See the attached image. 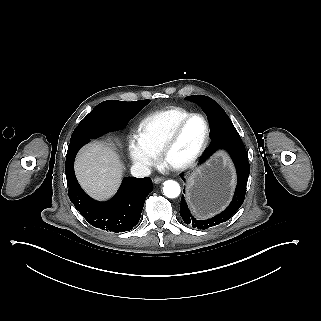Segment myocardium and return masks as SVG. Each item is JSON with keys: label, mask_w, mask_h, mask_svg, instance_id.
I'll return each instance as SVG.
<instances>
[{"label": "myocardium", "mask_w": 321, "mask_h": 321, "mask_svg": "<svg viewBox=\"0 0 321 321\" xmlns=\"http://www.w3.org/2000/svg\"><path fill=\"white\" fill-rule=\"evenodd\" d=\"M195 117H199L203 120L204 122V126H205V135L203 138V141L201 143V145L199 146L198 150L196 151V153L186 162L181 163V164H177V165H171L172 168H174L175 170L178 171H187L191 168H193L199 161L200 159L203 157L205 151L207 150V147L209 145V141H210V125L208 120L206 119V117L200 113H191L188 116L182 118L181 120H179L171 129V131L169 132L167 138L165 139L162 148H161V155L163 157V159L168 162V156L171 153L177 138L179 136V133L181 131V129L183 128V126L190 121L191 119L195 118Z\"/></svg>", "instance_id": "obj_1"}]
</instances>
